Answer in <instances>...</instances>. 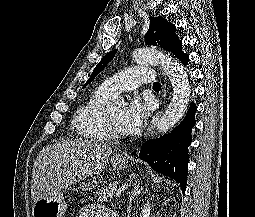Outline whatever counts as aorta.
Returning a JSON list of instances; mask_svg holds the SVG:
<instances>
[{
  "mask_svg": "<svg viewBox=\"0 0 255 217\" xmlns=\"http://www.w3.org/2000/svg\"><path fill=\"white\" fill-rule=\"evenodd\" d=\"M133 59L138 64L160 65L171 82L173 97L162 117L155 122L156 131L165 133L182 119L187 109L191 94L188 75L177 60L154 49H138L134 51ZM125 105L123 98L111 103V107Z\"/></svg>",
  "mask_w": 255,
  "mask_h": 217,
  "instance_id": "obj_1",
  "label": "aorta"
}]
</instances>
